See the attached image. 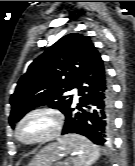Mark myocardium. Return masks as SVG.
I'll list each match as a JSON object with an SVG mask.
<instances>
[{
  "label": "myocardium",
  "mask_w": 135,
  "mask_h": 166,
  "mask_svg": "<svg viewBox=\"0 0 135 166\" xmlns=\"http://www.w3.org/2000/svg\"><path fill=\"white\" fill-rule=\"evenodd\" d=\"M38 115H45L48 116L51 119V128L50 130L44 134L43 136H40L35 139H24L20 136V130L22 126L32 117L38 116ZM63 126V115L62 113L53 107L50 106H38L30 109L27 111L16 123L15 129H14V137L15 139L24 145H38L43 144L46 142H49L53 139H55L59 133L61 132Z\"/></svg>",
  "instance_id": "1"
}]
</instances>
